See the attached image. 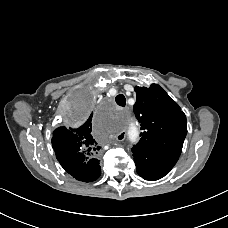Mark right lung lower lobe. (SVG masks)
Segmentation results:
<instances>
[{
    "instance_id": "98d812e1",
    "label": "right lung lower lobe",
    "mask_w": 228,
    "mask_h": 228,
    "mask_svg": "<svg viewBox=\"0 0 228 228\" xmlns=\"http://www.w3.org/2000/svg\"><path fill=\"white\" fill-rule=\"evenodd\" d=\"M60 164L69 174H71L77 180L90 182V181H87L86 179L87 176L81 175L80 174L81 171H78L74 168L73 162H71V160H62L60 161ZM100 174H101V168L99 166V160L96 159L95 172L91 178V181L96 180L100 176Z\"/></svg>"
}]
</instances>
